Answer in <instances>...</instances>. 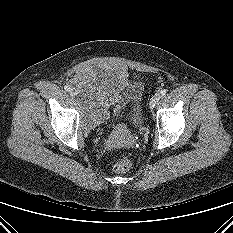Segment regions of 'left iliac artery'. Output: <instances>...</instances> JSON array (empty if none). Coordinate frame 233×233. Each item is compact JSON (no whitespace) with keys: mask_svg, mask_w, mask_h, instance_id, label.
Here are the masks:
<instances>
[{"mask_svg":"<svg viewBox=\"0 0 233 233\" xmlns=\"http://www.w3.org/2000/svg\"><path fill=\"white\" fill-rule=\"evenodd\" d=\"M159 98L164 97L166 95V90H161L159 93L156 94Z\"/></svg>","mask_w":233,"mask_h":233,"instance_id":"44dca946","label":"left iliac artery"}]
</instances>
